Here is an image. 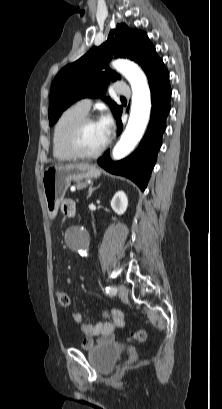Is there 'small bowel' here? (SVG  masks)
Returning <instances> with one entry per match:
<instances>
[{"label":"small bowel","instance_id":"obj_1","mask_svg":"<svg viewBox=\"0 0 222 409\" xmlns=\"http://www.w3.org/2000/svg\"><path fill=\"white\" fill-rule=\"evenodd\" d=\"M61 211L66 216H73L76 211V204L73 200L67 199L61 205ZM73 320L80 324L85 335L82 347L90 349L96 344L113 342L115 331L125 325V318L122 311L118 309L104 310L102 321L91 323L86 320L81 312H72Z\"/></svg>","mask_w":222,"mask_h":409}]
</instances>
